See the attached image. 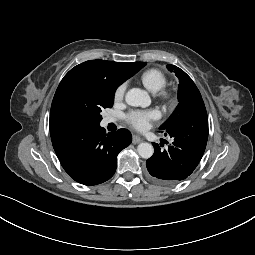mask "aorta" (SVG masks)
<instances>
[{"mask_svg": "<svg viewBox=\"0 0 255 255\" xmlns=\"http://www.w3.org/2000/svg\"><path fill=\"white\" fill-rule=\"evenodd\" d=\"M125 101L130 106H140L143 108L148 107L151 104V98L148 93L139 88L130 89L125 95ZM137 151L142 158L148 159L152 157L154 148L150 143L144 142L138 145Z\"/></svg>", "mask_w": 255, "mask_h": 255, "instance_id": "aorta-1", "label": "aorta"}]
</instances>
